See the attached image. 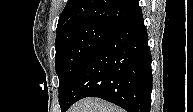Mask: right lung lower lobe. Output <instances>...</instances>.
Segmentation results:
<instances>
[{"mask_svg":"<svg viewBox=\"0 0 193 112\" xmlns=\"http://www.w3.org/2000/svg\"><path fill=\"white\" fill-rule=\"evenodd\" d=\"M151 52L142 13L116 29L87 58L61 106L99 97L128 112H150Z\"/></svg>","mask_w":193,"mask_h":112,"instance_id":"right-lung-lower-lobe-1","label":"right lung lower lobe"}]
</instances>
